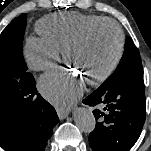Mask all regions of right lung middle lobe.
Instances as JSON below:
<instances>
[{
    "instance_id": "right-lung-middle-lobe-1",
    "label": "right lung middle lobe",
    "mask_w": 151,
    "mask_h": 151,
    "mask_svg": "<svg viewBox=\"0 0 151 151\" xmlns=\"http://www.w3.org/2000/svg\"><path fill=\"white\" fill-rule=\"evenodd\" d=\"M26 19V13L21 14L0 34V75L10 79H19L27 70L22 52ZM11 100L12 95L5 94L0 107L11 106Z\"/></svg>"
}]
</instances>
